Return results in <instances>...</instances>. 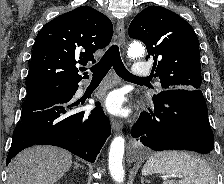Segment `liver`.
I'll list each match as a JSON object with an SVG mask.
<instances>
[{"instance_id": "1", "label": "liver", "mask_w": 224, "mask_h": 184, "mask_svg": "<svg viewBox=\"0 0 224 184\" xmlns=\"http://www.w3.org/2000/svg\"><path fill=\"white\" fill-rule=\"evenodd\" d=\"M72 155L52 146L20 152L9 164L7 184H55L70 169Z\"/></svg>"}]
</instances>
